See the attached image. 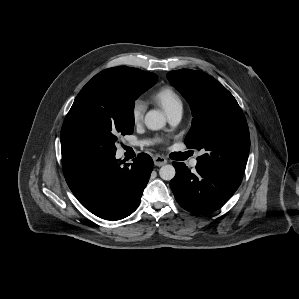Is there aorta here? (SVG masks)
Here are the masks:
<instances>
[{"mask_svg":"<svg viewBox=\"0 0 299 299\" xmlns=\"http://www.w3.org/2000/svg\"><path fill=\"white\" fill-rule=\"evenodd\" d=\"M145 125L150 130H159L166 125L164 114L158 110H150L145 115ZM176 171L172 165H164L159 170V175L163 180L170 181L175 177Z\"/></svg>","mask_w":299,"mask_h":299,"instance_id":"aorta-1","label":"aorta"}]
</instances>
